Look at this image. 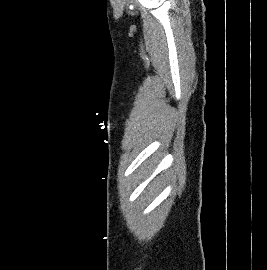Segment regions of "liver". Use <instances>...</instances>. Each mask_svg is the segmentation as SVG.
Here are the masks:
<instances>
[{
  "instance_id": "1",
  "label": "liver",
  "mask_w": 267,
  "mask_h": 270,
  "mask_svg": "<svg viewBox=\"0 0 267 270\" xmlns=\"http://www.w3.org/2000/svg\"><path fill=\"white\" fill-rule=\"evenodd\" d=\"M145 172H146V176H148V175L151 173V169L146 170ZM157 182H158V179L155 178V179L152 181L150 188H151V189H154V188L156 187V185H157Z\"/></svg>"
}]
</instances>
